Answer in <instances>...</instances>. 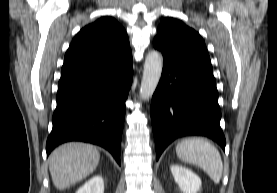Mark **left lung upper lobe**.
I'll return each instance as SVG.
<instances>
[{
    "label": "left lung upper lobe",
    "mask_w": 277,
    "mask_h": 193,
    "mask_svg": "<svg viewBox=\"0 0 277 193\" xmlns=\"http://www.w3.org/2000/svg\"><path fill=\"white\" fill-rule=\"evenodd\" d=\"M153 44L175 60L211 66L210 57L201 36L174 18L167 17L161 22Z\"/></svg>",
    "instance_id": "5c2ea615"
}]
</instances>
